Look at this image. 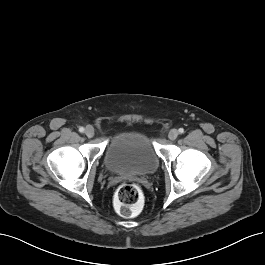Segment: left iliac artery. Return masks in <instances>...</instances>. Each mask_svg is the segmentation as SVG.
<instances>
[{"mask_svg": "<svg viewBox=\"0 0 265 265\" xmlns=\"http://www.w3.org/2000/svg\"><path fill=\"white\" fill-rule=\"evenodd\" d=\"M178 131H179L180 134L184 133V129L183 128H180Z\"/></svg>", "mask_w": 265, "mask_h": 265, "instance_id": "obj_1", "label": "left iliac artery"}]
</instances>
